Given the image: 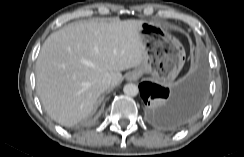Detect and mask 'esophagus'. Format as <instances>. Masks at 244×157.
<instances>
[{
    "label": "esophagus",
    "mask_w": 244,
    "mask_h": 157,
    "mask_svg": "<svg viewBox=\"0 0 244 157\" xmlns=\"http://www.w3.org/2000/svg\"><path fill=\"white\" fill-rule=\"evenodd\" d=\"M139 77H140L139 73H137V72H132V73L129 74L128 79H129L130 81H136V80L139 79Z\"/></svg>",
    "instance_id": "34e87169"
}]
</instances>
